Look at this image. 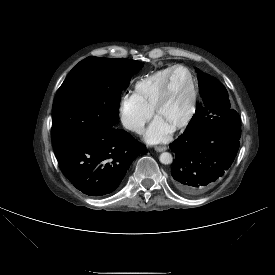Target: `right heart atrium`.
Returning a JSON list of instances; mask_svg holds the SVG:
<instances>
[{"instance_id": "1", "label": "right heart atrium", "mask_w": 275, "mask_h": 275, "mask_svg": "<svg viewBox=\"0 0 275 275\" xmlns=\"http://www.w3.org/2000/svg\"><path fill=\"white\" fill-rule=\"evenodd\" d=\"M152 114L153 111L144 107L133 94L124 95L119 101V121L127 131L140 134Z\"/></svg>"}]
</instances>
